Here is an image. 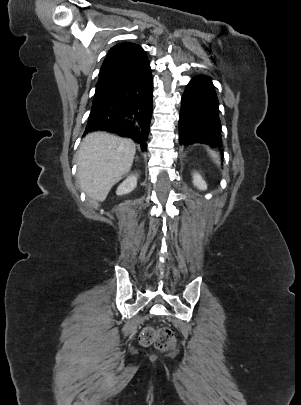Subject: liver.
Segmentation results:
<instances>
[{
  "label": "liver",
  "mask_w": 301,
  "mask_h": 405,
  "mask_svg": "<svg viewBox=\"0 0 301 405\" xmlns=\"http://www.w3.org/2000/svg\"><path fill=\"white\" fill-rule=\"evenodd\" d=\"M135 143L106 132L88 134L77 153V177L81 189L96 201H104L132 166Z\"/></svg>",
  "instance_id": "1"
}]
</instances>
